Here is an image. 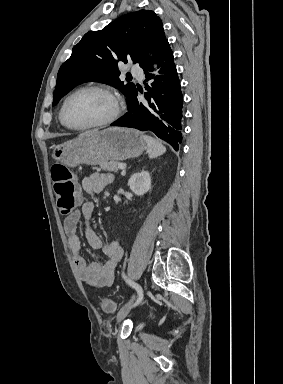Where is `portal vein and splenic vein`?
Listing matches in <instances>:
<instances>
[{"label": "portal vein and splenic vein", "mask_w": 283, "mask_h": 384, "mask_svg": "<svg viewBox=\"0 0 283 384\" xmlns=\"http://www.w3.org/2000/svg\"><path fill=\"white\" fill-rule=\"evenodd\" d=\"M119 168L120 170H123L122 172V176H123V174H125V164H119Z\"/></svg>", "instance_id": "obj_1"}]
</instances>
